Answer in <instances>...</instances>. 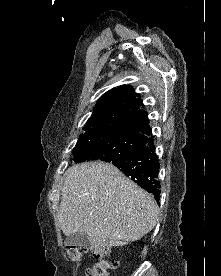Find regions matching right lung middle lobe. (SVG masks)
<instances>
[{"mask_svg":"<svg viewBox=\"0 0 221 276\" xmlns=\"http://www.w3.org/2000/svg\"><path fill=\"white\" fill-rule=\"evenodd\" d=\"M144 139L125 133H108L78 140L73 149V160L75 163L89 160L112 162L143 145Z\"/></svg>","mask_w":221,"mask_h":276,"instance_id":"1","label":"right lung middle lobe"}]
</instances>
